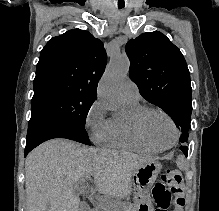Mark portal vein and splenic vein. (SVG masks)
I'll return each mask as SVG.
<instances>
[{
	"instance_id": "18ae733b",
	"label": "portal vein and splenic vein",
	"mask_w": 219,
	"mask_h": 211,
	"mask_svg": "<svg viewBox=\"0 0 219 211\" xmlns=\"http://www.w3.org/2000/svg\"><path fill=\"white\" fill-rule=\"evenodd\" d=\"M99 201H100V203H101V201H103V199H99ZM107 203H108V201H107ZM104 205H106V203H104ZM104 205H103V207H104Z\"/></svg>"
}]
</instances>
